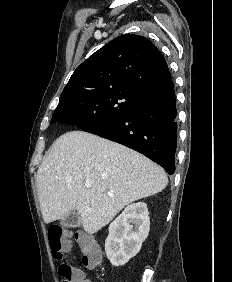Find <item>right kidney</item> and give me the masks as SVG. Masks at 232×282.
<instances>
[{
    "instance_id": "right-kidney-1",
    "label": "right kidney",
    "mask_w": 232,
    "mask_h": 282,
    "mask_svg": "<svg viewBox=\"0 0 232 282\" xmlns=\"http://www.w3.org/2000/svg\"><path fill=\"white\" fill-rule=\"evenodd\" d=\"M149 230L147 205L143 202L128 205L109 226L105 252L110 263L113 266L126 264L140 251Z\"/></svg>"
}]
</instances>
